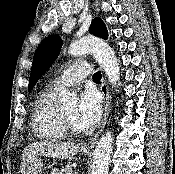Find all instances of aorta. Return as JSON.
I'll use <instances>...</instances> for the list:
<instances>
[{
	"mask_svg": "<svg viewBox=\"0 0 175 174\" xmlns=\"http://www.w3.org/2000/svg\"><path fill=\"white\" fill-rule=\"evenodd\" d=\"M91 52L96 61L105 71L113 87L119 84V63L111 47L97 37H84L70 44L68 53L79 56ZM58 101L63 105L73 104L77 101L76 95L62 90ZM113 150V137L107 132L101 137L95 148L91 174H108L109 160Z\"/></svg>",
	"mask_w": 175,
	"mask_h": 174,
	"instance_id": "obj_1",
	"label": "aorta"
}]
</instances>
